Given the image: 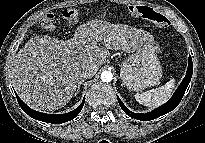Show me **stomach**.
I'll list each match as a JSON object with an SVG mask.
<instances>
[{
  "label": "stomach",
  "mask_w": 205,
  "mask_h": 143,
  "mask_svg": "<svg viewBox=\"0 0 205 143\" xmlns=\"http://www.w3.org/2000/svg\"><path fill=\"white\" fill-rule=\"evenodd\" d=\"M162 73L154 48L136 51L122 62L120 70L123 85L136 92L157 85Z\"/></svg>",
  "instance_id": "0dacf381"
}]
</instances>
